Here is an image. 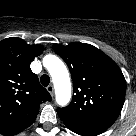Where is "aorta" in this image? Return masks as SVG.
Wrapping results in <instances>:
<instances>
[{"label":"aorta","mask_w":136,"mask_h":136,"mask_svg":"<svg viewBox=\"0 0 136 136\" xmlns=\"http://www.w3.org/2000/svg\"><path fill=\"white\" fill-rule=\"evenodd\" d=\"M43 63L52 77L56 102L65 106L71 99V82L65 64L55 55H47Z\"/></svg>","instance_id":"1"}]
</instances>
